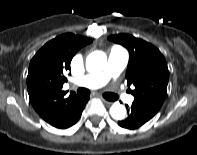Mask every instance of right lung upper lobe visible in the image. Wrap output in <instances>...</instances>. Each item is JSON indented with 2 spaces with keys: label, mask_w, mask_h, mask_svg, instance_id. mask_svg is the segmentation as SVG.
<instances>
[{
  "label": "right lung upper lobe",
  "mask_w": 197,
  "mask_h": 155,
  "mask_svg": "<svg viewBox=\"0 0 197 155\" xmlns=\"http://www.w3.org/2000/svg\"><path fill=\"white\" fill-rule=\"evenodd\" d=\"M91 39L66 33L47 42L32 58L27 76L30 101L36 112L52 126L58 125L81 96L62 87L75 53Z\"/></svg>",
  "instance_id": "obj_1"
}]
</instances>
